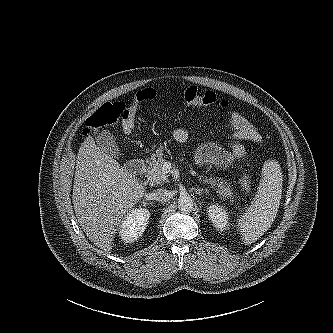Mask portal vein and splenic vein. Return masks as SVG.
Returning <instances> with one entry per match:
<instances>
[{
  "label": "portal vein and splenic vein",
  "instance_id": "18ae733b",
  "mask_svg": "<svg viewBox=\"0 0 333 333\" xmlns=\"http://www.w3.org/2000/svg\"><path fill=\"white\" fill-rule=\"evenodd\" d=\"M172 166L170 162H164L163 166H162V170L164 172V174L170 172Z\"/></svg>",
  "mask_w": 333,
  "mask_h": 333
}]
</instances>
